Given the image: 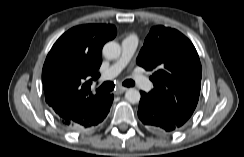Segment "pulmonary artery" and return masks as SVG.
I'll use <instances>...</instances> for the list:
<instances>
[{
	"label": "pulmonary artery",
	"mask_w": 244,
	"mask_h": 157,
	"mask_svg": "<svg viewBox=\"0 0 244 157\" xmlns=\"http://www.w3.org/2000/svg\"><path fill=\"white\" fill-rule=\"evenodd\" d=\"M138 45V39L135 36L126 37L122 43V53L121 56L105 71L101 74V81H108L115 78L128 64L132 58ZM135 83L143 90H150L152 88V83L143 75L137 74L134 77Z\"/></svg>",
	"instance_id": "1"
}]
</instances>
